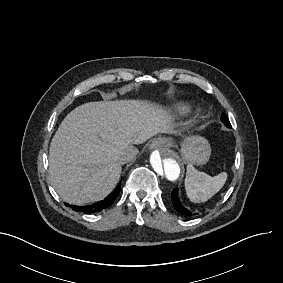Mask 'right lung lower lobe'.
Instances as JSON below:
<instances>
[{
  "label": "right lung lower lobe",
  "mask_w": 283,
  "mask_h": 283,
  "mask_svg": "<svg viewBox=\"0 0 283 283\" xmlns=\"http://www.w3.org/2000/svg\"><path fill=\"white\" fill-rule=\"evenodd\" d=\"M120 188L121 186L119 184L115 188V190L110 195H108L104 200L99 201L93 205H88L84 207L71 205V207L74 211H80L86 214L100 212L101 210L108 208L115 201L116 197L120 193Z\"/></svg>",
  "instance_id": "1"
}]
</instances>
